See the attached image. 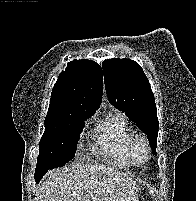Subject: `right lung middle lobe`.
Returning <instances> with one entry per match:
<instances>
[{"instance_id": "1", "label": "right lung middle lobe", "mask_w": 196, "mask_h": 201, "mask_svg": "<svg viewBox=\"0 0 196 201\" xmlns=\"http://www.w3.org/2000/svg\"><path fill=\"white\" fill-rule=\"evenodd\" d=\"M90 116L85 112L71 111L45 118V132L39 144L36 177H43L48 170L63 166L74 158L84 126L83 121Z\"/></svg>"}]
</instances>
